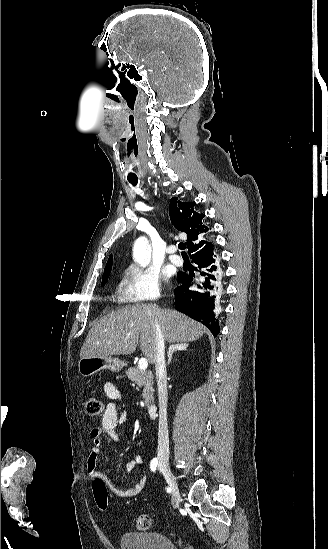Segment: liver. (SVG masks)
Masks as SVG:
<instances>
[{"instance_id":"obj_1","label":"liver","mask_w":328,"mask_h":549,"mask_svg":"<svg viewBox=\"0 0 328 549\" xmlns=\"http://www.w3.org/2000/svg\"><path fill=\"white\" fill-rule=\"evenodd\" d=\"M155 323H158L163 339L168 343L198 341L203 325L173 309H158L155 305L136 303L117 309L94 323L80 351V357H107V355H131L138 343L147 357L155 363ZM131 333V335H127Z\"/></svg>"}]
</instances>
